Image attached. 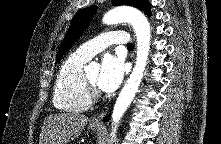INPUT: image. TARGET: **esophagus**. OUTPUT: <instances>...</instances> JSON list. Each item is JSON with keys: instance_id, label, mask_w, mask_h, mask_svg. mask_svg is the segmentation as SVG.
<instances>
[{"instance_id": "34e87169", "label": "esophagus", "mask_w": 221, "mask_h": 144, "mask_svg": "<svg viewBox=\"0 0 221 144\" xmlns=\"http://www.w3.org/2000/svg\"><path fill=\"white\" fill-rule=\"evenodd\" d=\"M108 107L103 111L101 112L99 115H97L96 117H94L91 122L93 124H97V125H100L102 124V120H103V117L106 115V113L108 112Z\"/></svg>"}]
</instances>
